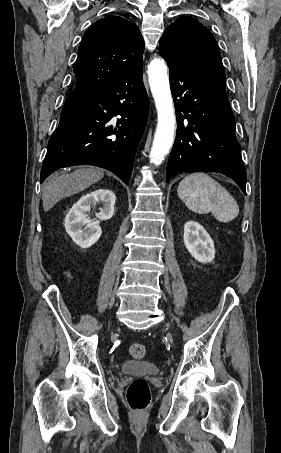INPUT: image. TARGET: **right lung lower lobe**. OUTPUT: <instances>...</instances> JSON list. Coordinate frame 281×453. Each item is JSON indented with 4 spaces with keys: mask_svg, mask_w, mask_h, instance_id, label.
Here are the masks:
<instances>
[{
    "mask_svg": "<svg viewBox=\"0 0 281 453\" xmlns=\"http://www.w3.org/2000/svg\"><path fill=\"white\" fill-rule=\"evenodd\" d=\"M148 110L142 62L115 82L77 85L49 140L41 182L62 167L94 165L128 184ZM117 115L121 118L115 121Z\"/></svg>",
    "mask_w": 281,
    "mask_h": 453,
    "instance_id": "right-lung-lower-lobe-1",
    "label": "right lung lower lobe"
}]
</instances>
